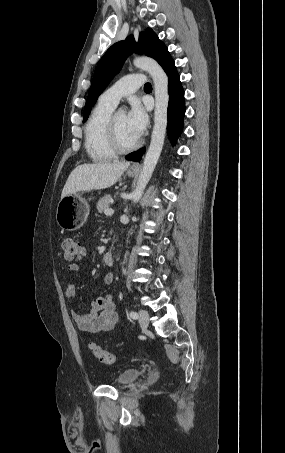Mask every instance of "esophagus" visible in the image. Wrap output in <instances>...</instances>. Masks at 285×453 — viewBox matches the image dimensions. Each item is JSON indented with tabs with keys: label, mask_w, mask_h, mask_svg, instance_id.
<instances>
[{
	"label": "esophagus",
	"mask_w": 285,
	"mask_h": 453,
	"mask_svg": "<svg viewBox=\"0 0 285 453\" xmlns=\"http://www.w3.org/2000/svg\"><path fill=\"white\" fill-rule=\"evenodd\" d=\"M132 169H138L139 168V164L138 163H134L132 166H131Z\"/></svg>",
	"instance_id": "1"
}]
</instances>
